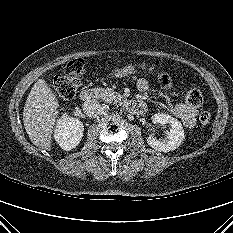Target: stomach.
Masks as SVG:
<instances>
[{
	"label": "stomach",
	"mask_w": 233,
	"mask_h": 233,
	"mask_svg": "<svg viewBox=\"0 0 233 233\" xmlns=\"http://www.w3.org/2000/svg\"><path fill=\"white\" fill-rule=\"evenodd\" d=\"M141 67L143 69H145L146 68L145 63H143V65ZM135 72H136L135 66L128 65L124 68L116 69V70L112 71L111 76L113 78H123V77H126L128 75L134 74Z\"/></svg>",
	"instance_id": "1"
}]
</instances>
